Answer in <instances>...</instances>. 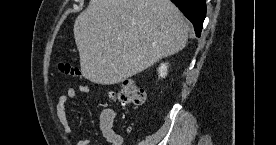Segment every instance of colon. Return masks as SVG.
I'll use <instances>...</instances> for the list:
<instances>
[{"instance_id": "5ec220e1", "label": "colon", "mask_w": 276, "mask_h": 145, "mask_svg": "<svg viewBox=\"0 0 276 145\" xmlns=\"http://www.w3.org/2000/svg\"><path fill=\"white\" fill-rule=\"evenodd\" d=\"M59 70L66 75L77 76L78 71L68 63H60ZM109 96L121 105L140 106L145 102V92L132 80H124L118 90L111 91Z\"/></svg>"}]
</instances>
